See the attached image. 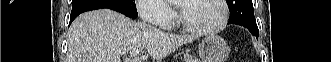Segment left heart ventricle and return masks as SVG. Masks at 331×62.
I'll return each instance as SVG.
<instances>
[{
	"label": "left heart ventricle",
	"instance_id": "b2bd125f",
	"mask_svg": "<svg viewBox=\"0 0 331 62\" xmlns=\"http://www.w3.org/2000/svg\"><path fill=\"white\" fill-rule=\"evenodd\" d=\"M185 20L193 26L212 27L222 16V8L217 0H188L180 2Z\"/></svg>",
	"mask_w": 331,
	"mask_h": 62
}]
</instances>
